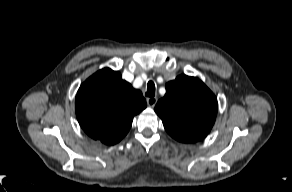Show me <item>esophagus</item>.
Here are the masks:
<instances>
[{"mask_svg":"<svg viewBox=\"0 0 292 192\" xmlns=\"http://www.w3.org/2000/svg\"><path fill=\"white\" fill-rule=\"evenodd\" d=\"M157 100L158 99L156 97H149V98H147L146 101H147L148 106L154 107L157 103Z\"/></svg>","mask_w":292,"mask_h":192,"instance_id":"obj_1","label":"esophagus"}]
</instances>
